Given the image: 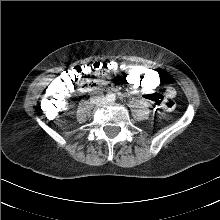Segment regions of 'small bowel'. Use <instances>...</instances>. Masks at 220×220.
<instances>
[{"label":"small bowel","mask_w":220,"mask_h":220,"mask_svg":"<svg viewBox=\"0 0 220 220\" xmlns=\"http://www.w3.org/2000/svg\"><path fill=\"white\" fill-rule=\"evenodd\" d=\"M107 68L110 72H116L118 69H121L123 67L119 66L116 62H110V63H108ZM94 71L97 76H102L104 74V68L101 64H96L94 66ZM86 84L88 86H95L96 88H106L108 86V81L106 79H99L98 77H88L86 79ZM133 90H135V89H133ZM170 90H172L174 92L173 88L167 87L163 82L162 87L153 93L161 92V91H170ZM149 94H152V93L143 92V96L146 100H148L147 96Z\"/></svg>","instance_id":"small-bowel-1"}]
</instances>
